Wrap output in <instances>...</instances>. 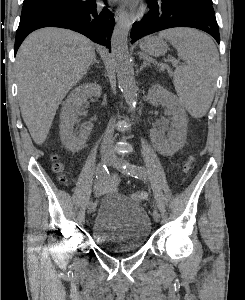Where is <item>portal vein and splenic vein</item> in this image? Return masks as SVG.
<instances>
[{
	"mask_svg": "<svg viewBox=\"0 0 245 300\" xmlns=\"http://www.w3.org/2000/svg\"><path fill=\"white\" fill-rule=\"evenodd\" d=\"M170 61H171L174 65L177 63V61L174 60V59H171Z\"/></svg>",
	"mask_w": 245,
	"mask_h": 300,
	"instance_id": "1",
	"label": "portal vein and splenic vein"
}]
</instances>
